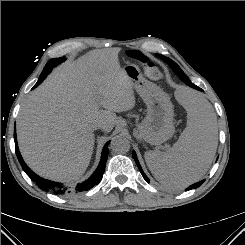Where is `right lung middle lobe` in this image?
<instances>
[{"instance_id":"right-lung-middle-lobe-1","label":"right lung middle lobe","mask_w":245,"mask_h":245,"mask_svg":"<svg viewBox=\"0 0 245 245\" xmlns=\"http://www.w3.org/2000/svg\"><path fill=\"white\" fill-rule=\"evenodd\" d=\"M64 60H65V57L51 59L47 64L52 65V66H57L58 64H60Z\"/></svg>"}]
</instances>
